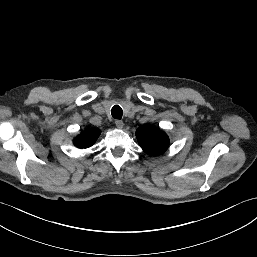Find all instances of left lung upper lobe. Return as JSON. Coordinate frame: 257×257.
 <instances>
[{
	"instance_id": "1",
	"label": "left lung upper lobe",
	"mask_w": 257,
	"mask_h": 257,
	"mask_svg": "<svg viewBox=\"0 0 257 257\" xmlns=\"http://www.w3.org/2000/svg\"><path fill=\"white\" fill-rule=\"evenodd\" d=\"M136 136L141 148L152 156L164 153L169 146V138L166 133L150 125L138 128Z\"/></svg>"
}]
</instances>
